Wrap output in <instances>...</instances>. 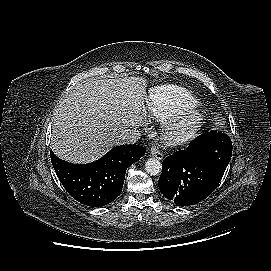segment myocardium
<instances>
[{
    "label": "myocardium",
    "mask_w": 271,
    "mask_h": 271,
    "mask_svg": "<svg viewBox=\"0 0 271 271\" xmlns=\"http://www.w3.org/2000/svg\"><path fill=\"white\" fill-rule=\"evenodd\" d=\"M205 119L197 107L178 112L162 122L161 138L169 146L183 145L198 133Z\"/></svg>",
    "instance_id": "obj_1"
}]
</instances>
